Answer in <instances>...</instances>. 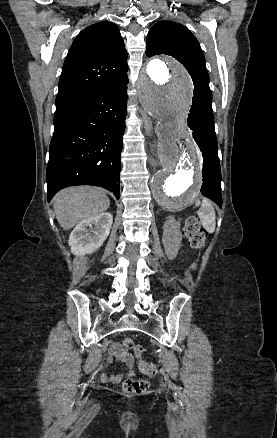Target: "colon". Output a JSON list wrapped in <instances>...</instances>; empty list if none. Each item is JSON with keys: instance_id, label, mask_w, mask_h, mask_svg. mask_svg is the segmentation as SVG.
<instances>
[{"instance_id": "5ec220e1", "label": "colon", "mask_w": 277, "mask_h": 438, "mask_svg": "<svg viewBox=\"0 0 277 438\" xmlns=\"http://www.w3.org/2000/svg\"><path fill=\"white\" fill-rule=\"evenodd\" d=\"M184 233L187 237L191 247L199 249L206 245L207 234L201 223L196 218H189L186 220L184 225ZM123 345L126 348L133 349L136 357L140 358V370L148 377H155L158 375V368L152 364L150 361L142 359V350L134 346L133 342L129 338L123 340ZM154 383L152 380L144 379H130L121 380L120 387L123 392L130 395L131 398H142L144 395L143 391L147 389H152Z\"/></svg>"}]
</instances>
